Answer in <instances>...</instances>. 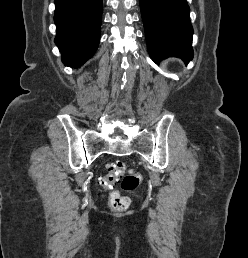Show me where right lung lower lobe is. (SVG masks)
<instances>
[{
  "label": "right lung lower lobe",
  "instance_id": "98d812e1",
  "mask_svg": "<svg viewBox=\"0 0 248 258\" xmlns=\"http://www.w3.org/2000/svg\"><path fill=\"white\" fill-rule=\"evenodd\" d=\"M103 0H55V43L65 65L78 68L95 53Z\"/></svg>",
  "mask_w": 248,
  "mask_h": 258
}]
</instances>
